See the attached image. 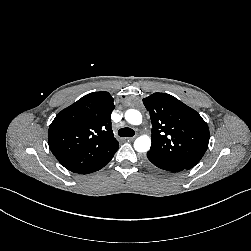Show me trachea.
Segmentation results:
<instances>
[{
  "mask_svg": "<svg viewBox=\"0 0 251 251\" xmlns=\"http://www.w3.org/2000/svg\"><path fill=\"white\" fill-rule=\"evenodd\" d=\"M134 134H135L134 130L131 128H128V127L121 128L118 131V135L120 137H132V136H134Z\"/></svg>",
  "mask_w": 251,
  "mask_h": 251,
  "instance_id": "trachea-1",
  "label": "trachea"
}]
</instances>
